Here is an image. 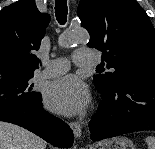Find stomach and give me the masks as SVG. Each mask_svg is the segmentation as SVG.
I'll return each instance as SVG.
<instances>
[{
	"label": "stomach",
	"mask_w": 155,
	"mask_h": 149,
	"mask_svg": "<svg viewBox=\"0 0 155 149\" xmlns=\"http://www.w3.org/2000/svg\"><path fill=\"white\" fill-rule=\"evenodd\" d=\"M100 149H136L133 142L127 137H115L103 142Z\"/></svg>",
	"instance_id": "0dacf381"
}]
</instances>
